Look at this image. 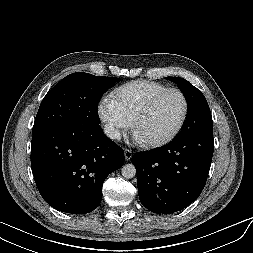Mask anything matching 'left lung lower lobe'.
I'll use <instances>...</instances> for the list:
<instances>
[{"instance_id":"left-lung-lower-lobe-1","label":"left lung lower lobe","mask_w":253,"mask_h":253,"mask_svg":"<svg viewBox=\"0 0 253 253\" xmlns=\"http://www.w3.org/2000/svg\"><path fill=\"white\" fill-rule=\"evenodd\" d=\"M214 151L213 129L177 135L167 145L135 153L139 199L154 213L169 214L201 194Z\"/></svg>"}]
</instances>
